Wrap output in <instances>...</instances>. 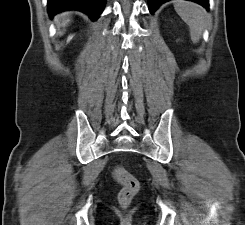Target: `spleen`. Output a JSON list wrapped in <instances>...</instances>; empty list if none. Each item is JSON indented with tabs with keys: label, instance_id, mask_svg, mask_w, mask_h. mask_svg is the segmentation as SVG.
<instances>
[{
	"label": "spleen",
	"instance_id": "1",
	"mask_svg": "<svg viewBox=\"0 0 245 225\" xmlns=\"http://www.w3.org/2000/svg\"><path fill=\"white\" fill-rule=\"evenodd\" d=\"M174 7L177 14L189 26L193 43H197L208 21L206 10L198 4L185 0H176Z\"/></svg>",
	"mask_w": 245,
	"mask_h": 225
}]
</instances>
